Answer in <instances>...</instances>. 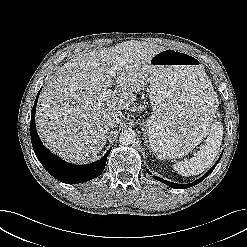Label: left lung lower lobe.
I'll list each match as a JSON object with an SVG mask.
<instances>
[{
    "label": "left lung lower lobe",
    "instance_id": "obj_1",
    "mask_svg": "<svg viewBox=\"0 0 247 247\" xmlns=\"http://www.w3.org/2000/svg\"><path fill=\"white\" fill-rule=\"evenodd\" d=\"M222 156V155H221ZM221 156L219 157L218 161L215 163V165L204 175L202 176L201 178H199L198 180L190 183V184H176V183H173V182H169V181H166L164 179H161V178H158V177H155L154 176V179L158 180V181H161L163 183H165L166 185L172 187V188H177V189H185V188H189V187H192L196 184H198L199 182L203 181L213 170L214 168L216 167V165L218 164V162L220 161L221 159ZM150 173V172H148ZM151 174V173H150Z\"/></svg>",
    "mask_w": 247,
    "mask_h": 247
}]
</instances>
